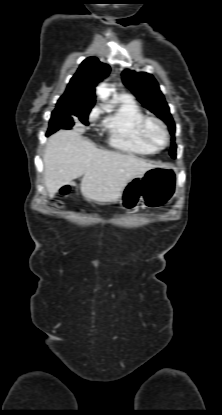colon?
Listing matches in <instances>:
<instances>
[{"label":"colon","instance_id":"obj_1","mask_svg":"<svg viewBox=\"0 0 222 415\" xmlns=\"http://www.w3.org/2000/svg\"><path fill=\"white\" fill-rule=\"evenodd\" d=\"M62 192H63V193H65V192H66V188H63V189H62Z\"/></svg>","mask_w":222,"mask_h":415}]
</instances>
